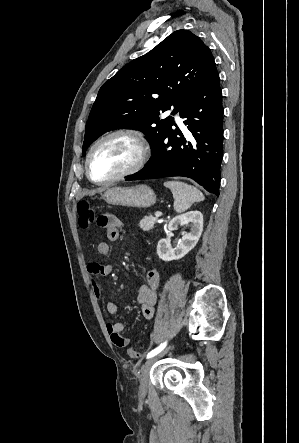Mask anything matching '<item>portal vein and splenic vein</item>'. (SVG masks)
<instances>
[{"instance_id":"portal-vein-and-splenic-vein-1","label":"portal vein and splenic vein","mask_w":299,"mask_h":443,"mask_svg":"<svg viewBox=\"0 0 299 443\" xmlns=\"http://www.w3.org/2000/svg\"><path fill=\"white\" fill-rule=\"evenodd\" d=\"M162 216V212H155V217L156 218H159V217H161Z\"/></svg>"}]
</instances>
